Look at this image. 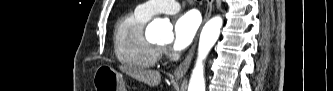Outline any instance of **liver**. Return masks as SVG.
Returning <instances> with one entry per match:
<instances>
[{"instance_id":"obj_1","label":"liver","mask_w":333,"mask_h":91,"mask_svg":"<svg viewBox=\"0 0 333 91\" xmlns=\"http://www.w3.org/2000/svg\"><path fill=\"white\" fill-rule=\"evenodd\" d=\"M119 69L132 78L149 86H157L161 82V74L155 70H146L130 66H119Z\"/></svg>"}]
</instances>
